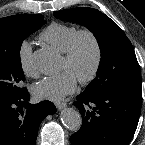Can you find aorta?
<instances>
[{"label": "aorta", "instance_id": "1", "mask_svg": "<svg viewBox=\"0 0 145 145\" xmlns=\"http://www.w3.org/2000/svg\"><path fill=\"white\" fill-rule=\"evenodd\" d=\"M33 61L36 67L45 73L52 72L56 65V58L54 54L45 49L36 51ZM60 118L63 125L70 131H78L82 125L80 113L73 108H66L62 110Z\"/></svg>", "mask_w": 145, "mask_h": 145}]
</instances>
